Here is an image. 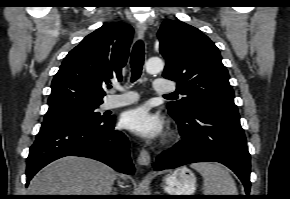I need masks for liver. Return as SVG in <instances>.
<instances>
[{"label": "liver", "mask_w": 290, "mask_h": 199, "mask_svg": "<svg viewBox=\"0 0 290 199\" xmlns=\"http://www.w3.org/2000/svg\"><path fill=\"white\" fill-rule=\"evenodd\" d=\"M116 176L101 162L68 156L36 174L28 191L30 195H110Z\"/></svg>", "instance_id": "liver-1"}]
</instances>
